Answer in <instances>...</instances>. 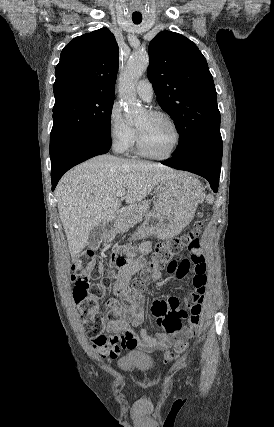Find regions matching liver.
Wrapping results in <instances>:
<instances>
[{
	"label": "liver",
	"instance_id": "liver-1",
	"mask_svg": "<svg viewBox=\"0 0 274 427\" xmlns=\"http://www.w3.org/2000/svg\"><path fill=\"white\" fill-rule=\"evenodd\" d=\"M178 172L167 166L122 160L110 154L96 156L67 172L56 188L57 206L75 257L88 243L90 229L114 219L121 202L117 190H126L127 204H137L162 180Z\"/></svg>",
	"mask_w": 274,
	"mask_h": 427
}]
</instances>
